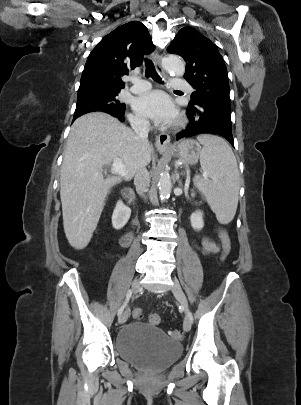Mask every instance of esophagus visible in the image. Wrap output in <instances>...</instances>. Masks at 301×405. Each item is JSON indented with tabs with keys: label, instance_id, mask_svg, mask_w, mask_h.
<instances>
[{
	"label": "esophagus",
	"instance_id": "34e87169",
	"mask_svg": "<svg viewBox=\"0 0 301 405\" xmlns=\"http://www.w3.org/2000/svg\"><path fill=\"white\" fill-rule=\"evenodd\" d=\"M152 60H153V62L155 64V66H156V69L160 73H164V69L162 67L160 55L157 54V53H153L152 54ZM155 145L159 149L168 148L171 145V137L168 134H160V135H158L156 137Z\"/></svg>",
	"mask_w": 301,
	"mask_h": 405
}]
</instances>
